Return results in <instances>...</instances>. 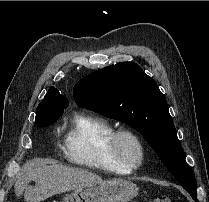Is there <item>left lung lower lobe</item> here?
Here are the masks:
<instances>
[{"label": "left lung lower lobe", "instance_id": "left-lung-lower-lobe-1", "mask_svg": "<svg viewBox=\"0 0 209 202\" xmlns=\"http://www.w3.org/2000/svg\"><path fill=\"white\" fill-rule=\"evenodd\" d=\"M192 198H193L195 201H198V200H197V195H196V196H192Z\"/></svg>", "mask_w": 209, "mask_h": 202}]
</instances>
